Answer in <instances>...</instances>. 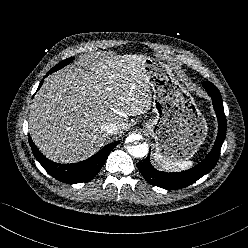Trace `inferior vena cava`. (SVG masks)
Returning a JSON list of instances; mask_svg holds the SVG:
<instances>
[{"label":"inferior vena cava","instance_id":"1","mask_svg":"<svg viewBox=\"0 0 248 248\" xmlns=\"http://www.w3.org/2000/svg\"><path fill=\"white\" fill-rule=\"evenodd\" d=\"M102 129L104 132L108 133V134H116L118 131V127L115 124H105L102 126Z\"/></svg>","mask_w":248,"mask_h":248}]
</instances>
